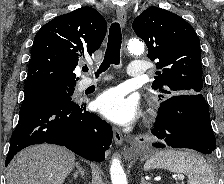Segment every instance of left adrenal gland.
I'll use <instances>...</instances> for the list:
<instances>
[{
    "label": "left adrenal gland",
    "mask_w": 224,
    "mask_h": 184,
    "mask_svg": "<svg viewBox=\"0 0 224 184\" xmlns=\"http://www.w3.org/2000/svg\"><path fill=\"white\" fill-rule=\"evenodd\" d=\"M140 184H150V183L146 182L145 179L142 177V178H141V183H140Z\"/></svg>",
    "instance_id": "1"
}]
</instances>
